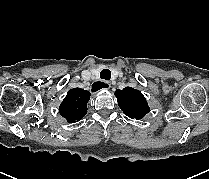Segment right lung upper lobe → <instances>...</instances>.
<instances>
[{"label": "right lung upper lobe", "mask_w": 209, "mask_h": 179, "mask_svg": "<svg viewBox=\"0 0 209 179\" xmlns=\"http://www.w3.org/2000/svg\"><path fill=\"white\" fill-rule=\"evenodd\" d=\"M90 92L74 88L67 92L59 107L60 114L70 123L81 120L87 113V102Z\"/></svg>", "instance_id": "obj_1"}]
</instances>
